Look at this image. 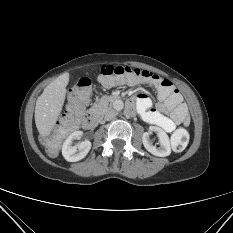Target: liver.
I'll return each instance as SVG.
<instances>
[{"mask_svg": "<svg viewBox=\"0 0 233 233\" xmlns=\"http://www.w3.org/2000/svg\"><path fill=\"white\" fill-rule=\"evenodd\" d=\"M69 82V73L65 72L45 87L38 97L35 106V124L42 136H48L52 132L66 96V86Z\"/></svg>", "mask_w": 233, "mask_h": 233, "instance_id": "6515ba94", "label": "liver"}]
</instances>
